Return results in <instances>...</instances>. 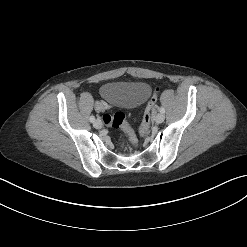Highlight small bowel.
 <instances>
[{
  "mask_svg": "<svg viewBox=\"0 0 247 247\" xmlns=\"http://www.w3.org/2000/svg\"><path fill=\"white\" fill-rule=\"evenodd\" d=\"M96 109H97L98 111H103V110H105V105L102 104V103H97V104H96Z\"/></svg>",
  "mask_w": 247,
  "mask_h": 247,
  "instance_id": "small-bowel-1",
  "label": "small bowel"
}]
</instances>
